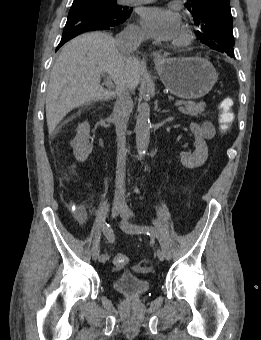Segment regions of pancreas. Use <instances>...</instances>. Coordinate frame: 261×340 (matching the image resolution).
Instances as JSON below:
<instances>
[{"label":"pancreas","mask_w":261,"mask_h":340,"mask_svg":"<svg viewBox=\"0 0 261 340\" xmlns=\"http://www.w3.org/2000/svg\"><path fill=\"white\" fill-rule=\"evenodd\" d=\"M184 107H179V111L185 115L198 117L199 115H205L206 104L204 102L195 103L192 101L183 102Z\"/></svg>","instance_id":"obj_1"}]
</instances>
